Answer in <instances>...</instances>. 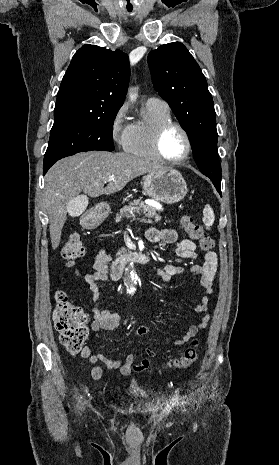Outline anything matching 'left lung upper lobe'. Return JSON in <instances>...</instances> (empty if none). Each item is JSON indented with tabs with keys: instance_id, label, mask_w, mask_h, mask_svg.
<instances>
[{
	"instance_id": "left-lung-upper-lobe-1",
	"label": "left lung upper lobe",
	"mask_w": 279,
	"mask_h": 465,
	"mask_svg": "<svg viewBox=\"0 0 279 465\" xmlns=\"http://www.w3.org/2000/svg\"><path fill=\"white\" fill-rule=\"evenodd\" d=\"M148 63L154 88L187 132L200 171L220 190L215 109L200 67L180 42L151 51Z\"/></svg>"
}]
</instances>
